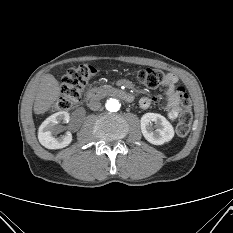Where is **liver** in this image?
<instances>
[{"label":"liver","mask_w":233,"mask_h":233,"mask_svg":"<svg viewBox=\"0 0 233 233\" xmlns=\"http://www.w3.org/2000/svg\"><path fill=\"white\" fill-rule=\"evenodd\" d=\"M60 90L59 82L53 75H43L34 102V113L43 114L49 110L59 98Z\"/></svg>","instance_id":"6515ba94"}]
</instances>
